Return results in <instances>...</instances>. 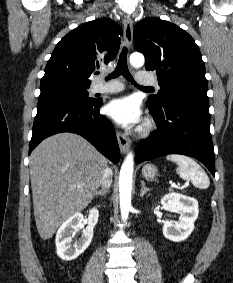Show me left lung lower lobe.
Returning a JSON list of instances; mask_svg holds the SVG:
<instances>
[{"label": "left lung lower lobe", "instance_id": "1", "mask_svg": "<svg viewBox=\"0 0 233 283\" xmlns=\"http://www.w3.org/2000/svg\"><path fill=\"white\" fill-rule=\"evenodd\" d=\"M147 105L157 124V132L140 141L135 161L140 163L165 154H182L198 159L215 176L208 98L187 95L160 108Z\"/></svg>", "mask_w": 233, "mask_h": 283}]
</instances>
